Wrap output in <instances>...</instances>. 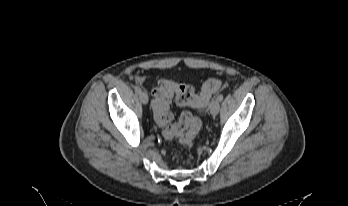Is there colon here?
I'll list each match as a JSON object with an SVG mask.
<instances>
[{
  "instance_id": "colon-1",
  "label": "colon",
  "mask_w": 348,
  "mask_h": 206,
  "mask_svg": "<svg viewBox=\"0 0 348 206\" xmlns=\"http://www.w3.org/2000/svg\"><path fill=\"white\" fill-rule=\"evenodd\" d=\"M223 87L224 83L221 80L209 79L204 83L200 95H197L189 85L162 81L153 92V109L156 123L161 128L164 138L172 140L179 137L183 145L191 146L201 128L200 120L190 112H183L179 122L172 124L170 103L173 97L179 106L201 109L206 107L212 95Z\"/></svg>"
}]
</instances>
